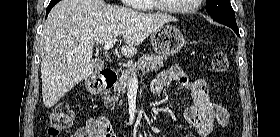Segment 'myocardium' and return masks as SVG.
<instances>
[{"label": "myocardium", "instance_id": "obj_1", "mask_svg": "<svg viewBox=\"0 0 280 137\" xmlns=\"http://www.w3.org/2000/svg\"><path fill=\"white\" fill-rule=\"evenodd\" d=\"M157 3L158 8L161 11L170 13V14H176V15H183V14H188L192 11H195L199 8L201 0H194L192 4L183 6V7H178V8H172L168 7L164 4H161V0H154Z\"/></svg>", "mask_w": 280, "mask_h": 137}]
</instances>
